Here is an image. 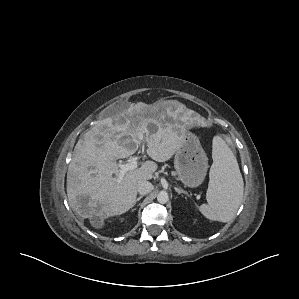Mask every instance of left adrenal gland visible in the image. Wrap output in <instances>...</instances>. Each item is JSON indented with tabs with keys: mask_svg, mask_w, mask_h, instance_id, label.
I'll return each instance as SVG.
<instances>
[{
	"mask_svg": "<svg viewBox=\"0 0 299 299\" xmlns=\"http://www.w3.org/2000/svg\"><path fill=\"white\" fill-rule=\"evenodd\" d=\"M175 191H176L178 194H185V195L188 196V193H187L185 190L181 189V188H175Z\"/></svg>",
	"mask_w": 299,
	"mask_h": 299,
	"instance_id": "a2214340",
	"label": "left adrenal gland"
}]
</instances>
